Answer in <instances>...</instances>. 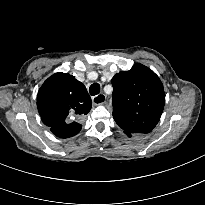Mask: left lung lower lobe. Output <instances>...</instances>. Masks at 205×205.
<instances>
[{"label":"left lung lower lobe","instance_id":"left-lung-lower-lobe-1","mask_svg":"<svg viewBox=\"0 0 205 205\" xmlns=\"http://www.w3.org/2000/svg\"><path fill=\"white\" fill-rule=\"evenodd\" d=\"M129 137L132 136V133L125 132Z\"/></svg>","mask_w":205,"mask_h":205}]
</instances>
